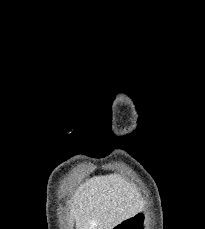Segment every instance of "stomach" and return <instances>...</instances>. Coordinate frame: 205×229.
I'll use <instances>...</instances> for the list:
<instances>
[{
    "label": "stomach",
    "mask_w": 205,
    "mask_h": 229,
    "mask_svg": "<svg viewBox=\"0 0 205 229\" xmlns=\"http://www.w3.org/2000/svg\"><path fill=\"white\" fill-rule=\"evenodd\" d=\"M149 224V212L145 207H141L132 215L116 224L112 229H149Z\"/></svg>",
    "instance_id": "1"
}]
</instances>
